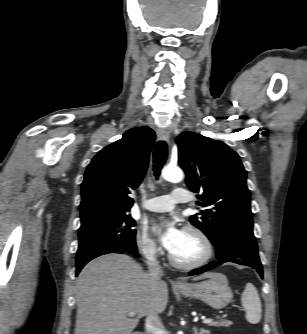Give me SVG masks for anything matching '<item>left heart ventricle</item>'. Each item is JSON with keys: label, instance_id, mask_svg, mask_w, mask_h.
Segmentation results:
<instances>
[{"label": "left heart ventricle", "instance_id": "left-heart-ventricle-1", "mask_svg": "<svg viewBox=\"0 0 307 334\" xmlns=\"http://www.w3.org/2000/svg\"><path fill=\"white\" fill-rule=\"evenodd\" d=\"M172 254L182 262H190L202 256L203 246L195 234L184 232L181 245Z\"/></svg>", "mask_w": 307, "mask_h": 334}]
</instances>
